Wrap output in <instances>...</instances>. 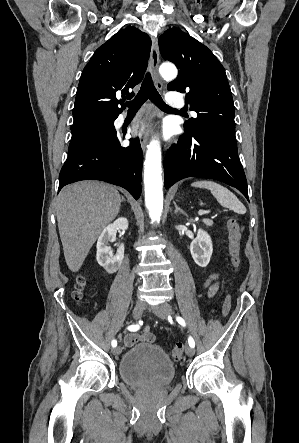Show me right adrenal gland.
<instances>
[{
  "label": "right adrenal gland",
  "mask_w": 299,
  "mask_h": 443,
  "mask_svg": "<svg viewBox=\"0 0 299 443\" xmlns=\"http://www.w3.org/2000/svg\"><path fill=\"white\" fill-rule=\"evenodd\" d=\"M123 201H125V198H124V197H122V202H123Z\"/></svg>",
  "instance_id": "obj_1"
}]
</instances>
